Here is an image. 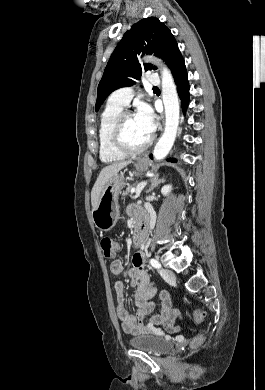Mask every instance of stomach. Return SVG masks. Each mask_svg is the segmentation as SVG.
<instances>
[{
	"label": "stomach",
	"instance_id": "0dacf381",
	"mask_svg": "<svg viewBox=\"0 0 265 390\" xmlns=\"http://www.w3.org/2000/svg\"><path fill=\"white\" fill-rule=\"evenodd\" d=\"M135 167L137 171L145 172L148 170L149 161L145 158H139ZM123 186V174H116L104 186L98 206L92 212L93 222L98 229L109 231L116 225L120 215L118 198Z\"/></svg>",
	"mask_w": 265,
	"mask_h": 390
}]
</instances>
